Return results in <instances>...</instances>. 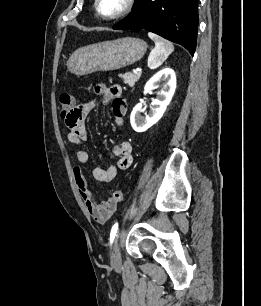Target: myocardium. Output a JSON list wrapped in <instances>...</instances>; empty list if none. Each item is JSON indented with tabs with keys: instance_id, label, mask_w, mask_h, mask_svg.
<instances>
[{
	"instance_id": "obj_1",
	"label": "myocardium",
	"mask_w": 261,
	"mask_h": 306,
	"mask_svg": "<svg viewBox=\"0 0 261 306\" xmlns=\"http://www.w3.org/2000/svg\"><path fill=\"white\" fill-rule=\"evenodd\" d=\"M99 1L100 0H94V10L101 19L107 21L117 20L124 17L133 9L136 2V0H125L122 8L117 13L113 15H104L99 9Z\"/></svg>"
}]
</instances>
